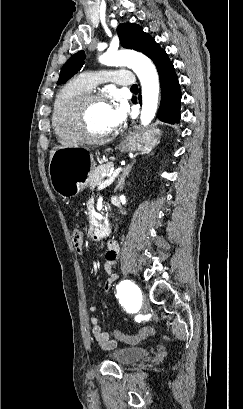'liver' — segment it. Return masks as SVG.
<instances>
[{
  "mask_svg": "<svg viewBox=\"0 0 243 409\" xmlns=\"http://www.w3.org/2000/svg\"><path fill=\"white\" fill-rule=\"evenodd\" d=\"M61 147H55V148H53L51 151H50V159H51V157H52V155L55 153V151L57 150V149H60Z\"/></svg>",
  "mask_w": 243,
  "mask_h": 409,
  "instance_id": "1",
  "label": "liver"
}]
</instances>
